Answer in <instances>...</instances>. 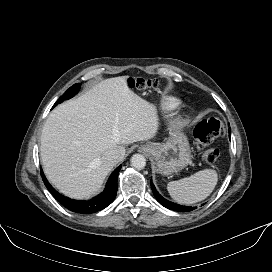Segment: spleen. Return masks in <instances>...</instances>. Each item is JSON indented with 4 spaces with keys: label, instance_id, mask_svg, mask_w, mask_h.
Returning <instances> with one entry per match:
<instances>
[{
    "label": "spleen",
    "instance_id": "3e777b00",
    "mask_svg": "<svg viewBox=\"0 0 272 272\" xmlns=\"http://www.w3.org/2000/svg\"><path fill=\"white\" fill-rule=\"evenodd\" d=\"M217 182V172L205 169L190 177L169 182L167 190L176 202L189 205L207 198L213 192Z\"/></svg>",
    "mask_w": 272,
    "mask_h": 272
}]
</instances>
